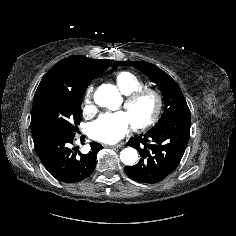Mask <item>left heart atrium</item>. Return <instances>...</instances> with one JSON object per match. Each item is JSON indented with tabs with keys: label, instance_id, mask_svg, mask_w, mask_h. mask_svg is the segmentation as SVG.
Masks as SVG:
<instances>
[{
	"label": "left heart atrium",
	"instance_id": "obj_1",
	"mask_svg": "<svg viewBox=\"0 0 236 236\" xmlns=\"http://www.w3.org/2000/svg\"><path fill=\"white\" fill-rule=\"evenodd\" d=\"M130 124L125 112L107 113L90 125L89 135L97 141L113 144L125 136Z\"/></svg>",
	"mask_w": 236,
	"mask_h": 236
}]
</instances>
